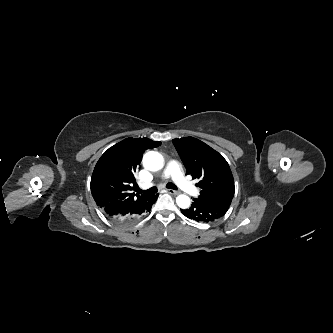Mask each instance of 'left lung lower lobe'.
<instances>
[{
    "instance_id": "left-lung-lower-lobe-1",
    "label": "left lung lower lobe",
    "mask_w": 333,
    "mask_h": 333,
    "mask_svg": "<svg viewBox=\"0 0 333 333\" xmlns=\"http://www.w3.org/2000/svg\"><path fill=\"white\" fill-rule=\"evenodd\" d=\"M228 209L229 206L224 204L194 198L191 207L181 209V212L190 219L199 222H211L222 217Z\"/></svg>"
}]
</instances>
